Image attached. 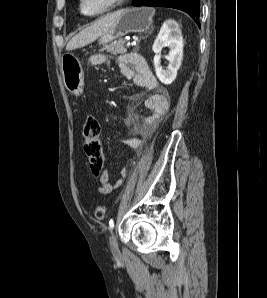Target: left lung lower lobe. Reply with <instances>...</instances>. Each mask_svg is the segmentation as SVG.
<instances>
[{
	"label": "left lung lower lobe",
	"instance_id": "0a47b994",
	"mask_svg": "<svg viewBox=\"0 0 267 298\" xmlns=\"http://www.w3.org/2000/svg\"><path fill=\"white\" fill-rule=\"evenodd\" d=\"M200 0H133V6L170 7L188 13L199 25Z\"/></svg>",
	"mask_w": 267,
	"mask_h": 298
}]
</instances>
